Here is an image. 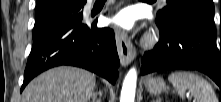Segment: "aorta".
I'll use <instances>...</instances> for the list:
<instances>
[{"label": "aorta", "instance_id": "1", "mask_svg": "<svg viewBox=\"0 0 221 102\" xmlns=\"http://www.w3.org/2000/svg\"><path fill=\"white\" fill-rule=\"evenodd\" d=\"M137 84V71L135 68H131L127 75L125 76L120 102H134L135 99V91Z\"/></svg>", "mask_w": 221, "mask_h": 102}]
</instances>
